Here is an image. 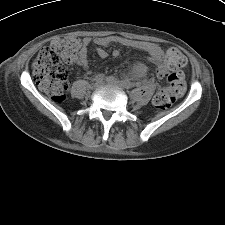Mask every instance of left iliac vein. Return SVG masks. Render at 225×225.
Segmentation results:
<instances>
[{
  "label": "left iliac vein",
  "instance_id": "obj_1",
  "mask_svg": "<svg viewBox=\"0 0 225 225\" xmlns=\"http://www.w3.org/2000/svg\"><path fill=\"white\" fill-rule=\"evenodd\" d=\"M107 84H110L112 86H115L119 89H125V86L121 81L117 80V79H114V78H109L107 81H106Z\"/></svg>",
  "mask_w": 225,
  "mask_h": 225
}]
</instances>
